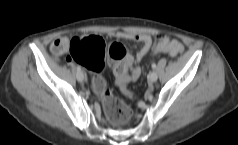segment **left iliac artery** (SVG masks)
<instances>
[{
    "label": "left iliac artery",
    "instance_id": "obj_1",
    "mask_svg": "<svg viewBox=\"0 0 238 145\" xmlns=\"http://www.w3.org/2000/svg\"><path fill=\"white\" fill-rule=\"evenodd\" d=\"M152 68L155 69L156 68V64H152Z\"/></svg>",
    "mask_w": 238,
    "mask_h": 145
}]
</instances>
